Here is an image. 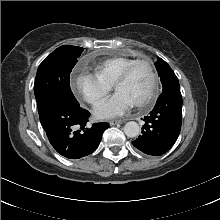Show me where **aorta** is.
I'll list each match as a JSON object with an SVG mask.
<instances>
[{
    "label": "aorta",
    "instance_id": "aorta-1",
    "mask_svg": "<svg viewBox=\"0 0 220 220\" xmlns=\"http://www.w3.org/2000/svg\"><path fill=\"white\" fill-rule=\"evenodd\" d=\"M124 133L127 137L134 138L140 133V127L137 122L130 121L124 125Z\"/></svg>",
    "mask_w": 220,
    "mask_h": 220
}]
</instances>
